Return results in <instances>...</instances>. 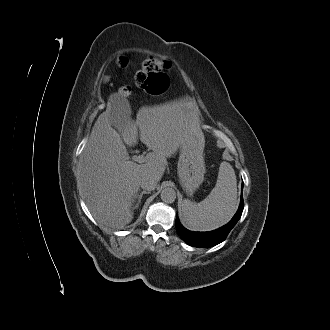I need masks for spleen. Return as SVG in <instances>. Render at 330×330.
Masks as SVG:
<instances>
[{"label":"spleen","mask_w":330,"mask_h":330,"mask_svg":"<svg viewBox=\"0 0 330 330\" xmlns=\"http://www.w3.org/2000/svg\"><path fill=\"white\" fill-rule=\"evenodd\" d=\"M237 208V180L234 169L228 162L219 167L215 187L198 204L183 200L182 221L193 231H210L226 224Z\"/></svg>","instance_id":"spleen-1"}]
</instances>
